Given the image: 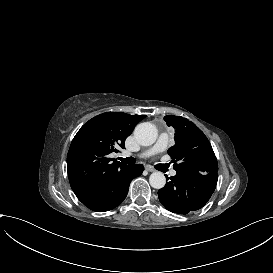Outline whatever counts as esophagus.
<instances>
[{
    "label": "esophagus",
    "mask_w": 273,
    "mask_h": 273,
    "mask_svg": "<svg viewBox=\"0 0 273 273\" xmlns=\"http://www.w3.org/2000/svg\"><path fill=\"white\" fill-rule=\"evenodd\" d=\"M145 170L148 172H155L156 171L154 168L148 167V166L145 167Z\"/></svg>",
    "instance_id": "esophagus-1"
}]
</instances>
